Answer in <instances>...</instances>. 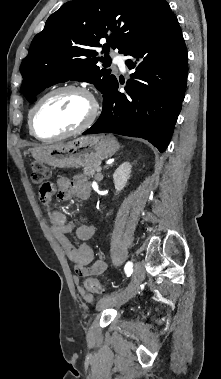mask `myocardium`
Returning a JSON list of instances; mask_svg holds the SVG:
<instances>
[{
	"mask_svg": "<svg viewBox=\"0 0 221 379\" xmlns=\"http://www.w3.org/2000/svg\"><path fill=\"white\" fill-rule=\"evenodd\" d=\"M67 91H73V92L81 93L89 99V101L91 103V110H90L88 117L79 126H77L76 128H74L70 131H67L65 133L55 135V136H51V137H43V136L39 135L36 132L35 127H34V116H35L37 109L50 96L57 94V93H61V92H67ZM98 114H99V104H98L95 96L86 87H83V86L77 85V84H67V85H63V86H59V87H56L54 89H51L50 91L45 93L43 96H41L37 100V102L34 104V106L29 111V116H28L29 131L35 138H37L41 141H57V140H61V139L71 137L73 135H76V134H79V133L85 131L86 129H88L90 126H92L94 124V122L96 121V119L98 117Z\"/></svg>",
	"mask_w": 221,
	"mask_h": 379,
	"instance_id": "f54148a6",
	"label": "myocardium"
}]
</instances>
